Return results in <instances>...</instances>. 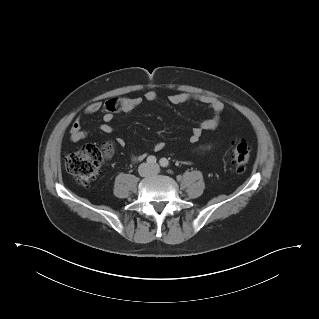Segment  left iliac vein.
<instances>
[{
	"label": "left iliac vein",
	"mask_w": 319,
	"mask_h": 319,
	"mask_svg": "<svg viewBox=\"0 0 319 319\" xmlns=\"http://www.w3.org/2000/svg\"><path fill=\"white\" fill-rule=\"evenodd\" d=\"M159 171H160V169H159V166L157 164L152 165V172L154 174L159 173Z\"/></svg>",
	"instance_id": "obj_1"
}]
</instances>
